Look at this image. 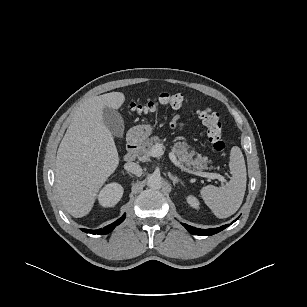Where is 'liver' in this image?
<instances>
[{"label": "liver", "mask_w": 307, "mask_h": 307, "mask_svg": "<svg viewBox=\"0 0 307 307\" xmlns=\"http://www.w3.org/2000/svg\"><path fill=\"white\" fill-rule=\"evenodd\" d=\"M121 92L86 100L74 114L56 156L55 183L63 206L72 216H86L98 191L119 164L111 131L103 122L105 106L118 109Z\"/></svg>", "instance_id": "liver-1"}]
</instances>
